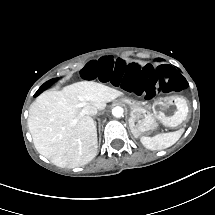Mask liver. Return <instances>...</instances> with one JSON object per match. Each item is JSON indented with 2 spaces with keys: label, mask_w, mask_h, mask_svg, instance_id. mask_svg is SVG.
I'll return each instance as SVG.
<instances>
[{
  "label": "liver",
  "mask_w": 215,
  "mask_h": 215,
  "mask_svg": "<svg viewBox=\"0 0 215 215\" xmlns=\"http://www.w3.org/2000/svg\"><path fill=\"white\" fill-rule=\"evenodd\" d=\"M123 93L101 82L78 81L44 91L30 105L28 129L36 150L59 167H80L97 154V133L85 106L98 111Z\"/></svg>",
  "instance_id": "1"
}]
</instances>
